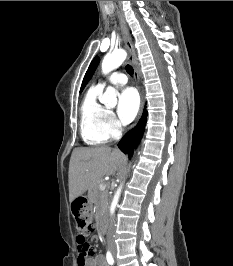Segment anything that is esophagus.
<instances>
[{"instance_id":"obj_1","label":"esophagus","mask_w":233,"mask_h":266,"mask_svg":"<svg viewBox=\"0 0 233 266\" xmlns=\"http://www.w3.org/2000/svg\"><path fill=\"white\" fill-rule=\"evenodd\" d=\"M117 15H118L119 25H120L121 33H122V36H123L124 44H125V47H126V49L128 51L127 61L134 67L135 78L137 79V81H139V72H138V69L136 68V65H135V60H136L135 49H134L132 40H131V38L129 36V32H128L125 20L123 18V15L121 14V12L119 10H117ZM138 88H139V92H140L141 103H140V109H139L136 121L133 124V127L139 121V119H140V117L142 115L143 107H144L143 90H142L140 85L138 86Z\"/></svg>"}]
</instances>
